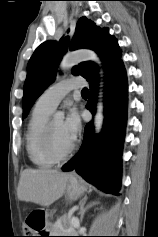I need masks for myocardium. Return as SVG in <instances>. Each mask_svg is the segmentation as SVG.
<instances>
[{
	"label": "myocardium",
	"instance_id": "obj_1",
	"mask_svg": "<svg viewBox=\"0 0 158 237\" xmlns=\"http://www.w3.org/2000/svg\"><path fill=\"white\" fill-rule=\"evenodd\" d=\"M51 127H52V121H48L42 133V139H41L42 147L47 157L50 158L53 162H61L68 159L73 154L75 145L72 144L69 150L66 151L65 153L58 154L55 151L52 143Z\"/></svg>",
	"mask_w": 158,
	"mask_h": 237
}]
</instances>
